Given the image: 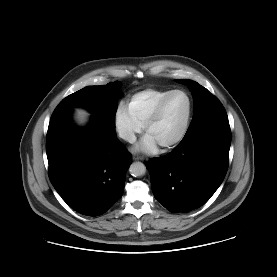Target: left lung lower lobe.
Wrapping results in <instances>:
<instances>
[{"label":"left lung lower lobe","mask_w":277,"mask_h":277,"mask_svg":"<svg viewBox=\"0 0 277 277\" xmlns=\"http://www.w3.org/2000/svg\"><path fill=\"white\" fill-rule=\"evenodd\" d=\"M230 144L228 117L221 115L187 132L171 153L149 160L157 201L174 213L204 205L226 175Z\"/></svg>","instance_id":"0a47b994"}]
</instances>
